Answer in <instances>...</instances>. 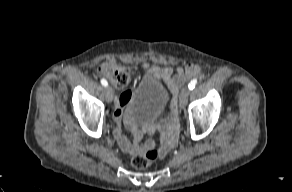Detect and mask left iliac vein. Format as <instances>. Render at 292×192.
I'll list each match as a JSON object with an SVG mask.
<instances>
[{"label":"left iliac vein","instance_id":"left-iliac-vein-1","mask_svg":"<svg viewBox=\"0 0 292 192\" xmlns=\"http://www.w3.org/2000/svg\"><path fill=\"white\" fill-rule=\"evenodd\" d=\"M190 89L188 87H184L179 96V105L181 108H184L187 105L188 96Z\"/></svg>","mask_w":292,"mask_h":192}]
</instances>
